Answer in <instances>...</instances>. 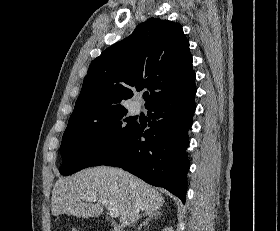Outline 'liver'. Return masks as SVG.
I'll return each mask as SVG.
<instances>
[{"mask_svg":"<svg viewBox=\"0 0 280 231\" xmlns=\"http://www.w3.org/2000/svg\"><path fill=\"white\" fill-rule=\"evenodd\" d=\"M133 181V183H132ZM134 199H140L143 215L160 209L164 197L142 179L118 167H89L57 179L51 197L53 215L71 213L76 217H98L105 207H118L121 225H131ZM103 201H107L103 203Z\"/></svg>","mask_w":280,"mask_h":231,"instance_id":"liver-1","label":"liver"}]
</instances>
